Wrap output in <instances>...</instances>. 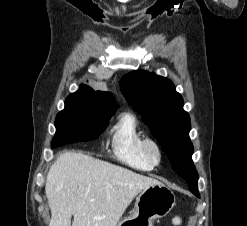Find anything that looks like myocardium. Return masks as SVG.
I'll use <instances>...</instances> for the list:
<instances>
[{
    "mask_svg": "<svg viewBox=\"0 0 247 226\" xmlns=\"http://www.w3.org/2000/svg\"><path fill=\"white\" fill-rule=\"evenodd\" d=\"M142 153L146 161L152 166H158L163 158L160 144L153 138L146 137L143 139Z\"/></svg>",
    "mask_w": 247,
    "mask_h": 226,
    "instance_id": "f54148a6",
    "label": "myocardium"
}]
</instances>
